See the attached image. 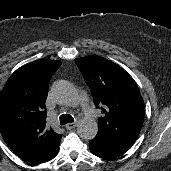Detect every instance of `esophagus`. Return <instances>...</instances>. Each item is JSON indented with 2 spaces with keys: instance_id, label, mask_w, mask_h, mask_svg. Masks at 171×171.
<instances>
[{
  "instance_id": "34e87169",
  "label": "esophagus",
  "mask_w": 171,
  "mask_h": 171,
  "mask_svg": "<svg viewBox=\"0 0 171 171\" xmlns=\"http://www.w3.org/2000/svg\"><path fill=\"white\" fill-rule=\"evenodd\" d=\"M77 124H78V121H75V122H73V123H68V124L65 126V128H66L67 130H71V129L75 128V127L77 126Z\"/></svg>"
}]
</instances>
